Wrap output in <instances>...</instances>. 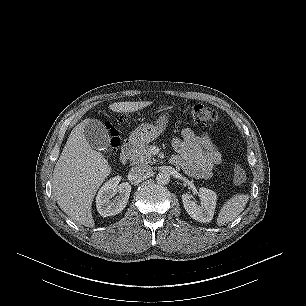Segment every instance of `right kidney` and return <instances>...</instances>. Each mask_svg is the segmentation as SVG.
I'll return each mask as SVG.
<instances>
[{"mask_svg": "<svg viewBox=\"0 0 306 306\" xmlns=\"http://www.w3.org/2000/svg\"><path fill=\"white\" fill-rule=\"evenodd\" d=\"M120 180V176L113 177L101 187L97 194V211L103 217L119 214L128 203L131 186L127 182L119 184ZM117 193L119 194L114 197Z\"/></svg>", "mask_w": 306, "mask_h": 306, "instance_id": "ca27d5eb", "label": "right kidney"}]
</instances>
